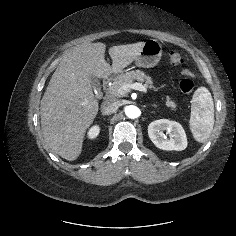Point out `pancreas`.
<instances>
[{
	"label": "pancreas",
	"instance_id": "cf45deb5",
	"mask_svg": "<svg viewBox=\"0 0 236 236\" xmlns=\"http://www.w3.org/2000/svg\"><path fill=\"white\" fill-rule=\"evenodd\" d=\"M134 80L139 82H145V87L149 89H154L153 81L151 76L146 75L145 72L141 70L129 71L126 73H122L118 75L112 85L109 87L108 91L113 96H120L124 95L118 92L119 88L124 84H132ZM164 98H162L163 100ZM166 107L170 108L171 110H176V103L171 100L169 96H166Z\"/></svg>",
	"mask_w": 236,
	"mask_h": 236
}]
</instances>
